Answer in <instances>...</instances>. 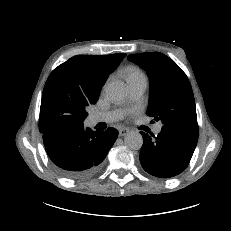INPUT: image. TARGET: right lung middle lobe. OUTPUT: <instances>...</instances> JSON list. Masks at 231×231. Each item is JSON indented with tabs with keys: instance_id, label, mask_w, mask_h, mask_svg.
Instances as JSON below:
<instances>
[{
	"instance_id": "dd1d6c3e",
	"label": "right lung middle lobe",
	"mask_w": 231,
	"mask_h": 231,
	"mask_svg": "<svg viewBox=\"0 0 231 231\" xmlns=\"http://www.w3.org/2000/svg\"><path fill=\"white\" fill-rule=\"evenodd\" d=\"M100 90L81 86L66 69L56 68L48 77L42 94L39 131L72 128L88 116L90 104L98 101Z\"/></svg>"
}]
</instances>
